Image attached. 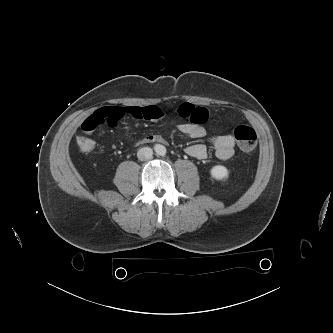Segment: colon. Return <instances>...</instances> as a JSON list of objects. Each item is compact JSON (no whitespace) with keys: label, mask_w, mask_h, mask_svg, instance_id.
Segmentation results:
<instances>
[{"label":"colon","mask_w":333,"mask_h":333,"mask_svg":"<svg viewBox=\"0 0 333 333\" xmlns=\"http://www.w3.org/2000/svg\"><path fill=\"white\" fill-rule=\"evenodd\" d=\"M234 138L239 148L245 152H252L257 145V134L255 130L246 125H238L234 129ZM76 143L81 152L88 153L94 148V141L85 136H78Z\"/></svg>","instance_id":"colon-1"}]
</instances>
